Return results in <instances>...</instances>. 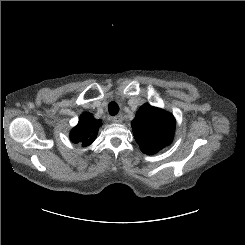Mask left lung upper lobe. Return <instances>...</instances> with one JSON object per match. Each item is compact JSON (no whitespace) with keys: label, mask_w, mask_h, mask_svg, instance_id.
I'll return each instance as SVG.
<instances>
[{"label":"left lung upper lobe","mask_w":245,"mask_h":245,"mask_svg":"<svg viewBox=\"0 0 245 245\" xmlns=\"http://www.w3.org/2000/svg\"><path fill=\"white\" fill-rule=\"evenodd\" d=\"M133 134L143 153L154 154L172 142L175 119L162 109L144 104L132 121Z\"/></svg>","instance_id":"5c2ea615"}]
</instances>
